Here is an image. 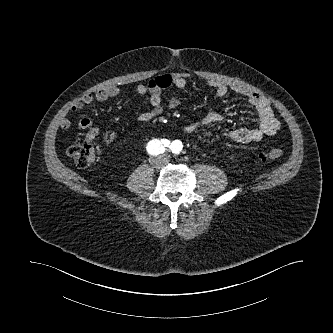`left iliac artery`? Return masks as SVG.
<instances>
[{"label":"left iliac artery","mask_w":333,"mask_h":333,"mask_svg":"<svg viewBox=\"0 0 333 333\" xmlns=\"http://www.w3.org/2000/svg\"><path fill=\"white\" fill-rule=\"evenodd\" d=\"M170 149L172 150V152L174 154H179V152L181 151L182 147L176 145L175 142H174V143L171 144Z\"/></svg>","instance_id":"left-iliac-artery-1"}]
</instances>
